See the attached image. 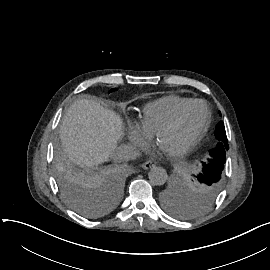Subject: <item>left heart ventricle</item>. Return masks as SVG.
<instances>
[{
  "mask_svg": "<svg viewBox=\"0 0 270 270\" xmlns=\"http://www.w3.org/2000/svg\"><path fill=\"white\" fill-rule=\"evenodd\" d=\"M204 121L205 109L198 104L185 114L177 128L162 134L159 139L176 151L190 141L203 126Z\"/></svg>",
  "mask_w": 270,
  "mask_h": 270,
  "instance_id": "left-heart-ventricle-1",
  "label": "left heart ventricle"
}]
</instances>
